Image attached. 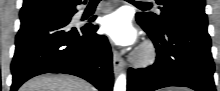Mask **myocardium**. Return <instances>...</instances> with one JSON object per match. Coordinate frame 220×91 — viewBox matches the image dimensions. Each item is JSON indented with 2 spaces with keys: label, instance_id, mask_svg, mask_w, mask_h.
I'll return each instance as SVG.
<instances>
[{
  "label": "myocardium",
  "instance_id": "1",
  "mask_svg": "<svg viewBox=\"0 0 220 91\" xmlns=\"http://www.w3.org/2000/svg\"><path fill=\"white\" fill-rule=\"evenodd\" d=\"M155 59L156 49L151 42H145L133 57L134 63L140 67H146L153 64Z\"/></svg>",
  "mask_w": 220,
  "mask_h": 91
}]
</instances>
